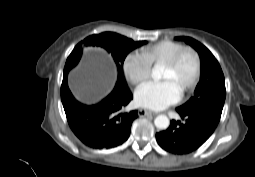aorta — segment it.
Instances as JSON below:
<instances>
[{"label":"aorta","instance_id":"1","mask_svg":"<svg viewBox=\"0 0 255 177\" xmlns=\"http://www.w3.org/2000/svg\"><path fill=\"white\" fill-rule=\"evenodd\" d=\"M153 75L155 77H160L158 67L154 68ZM154 124L158 129L165 130L169 127L170 121L166 115H158L154 120Z\"/></svg>","mask_w":255,"mask_h":177}]
</instances>
